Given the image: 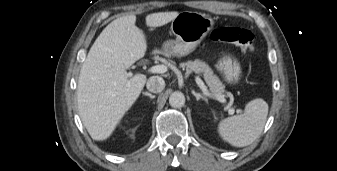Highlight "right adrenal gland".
Returning a JSON list of instances; mask_svg holds the SVG:
<instances>
[{
  "instance_id": "obj_1",
  "label": "right adrenal gland",
  "mask_w": 337,
  "mask_h": 171,
  "mask_svg": "<svg viewBox=\"0 0 337 171\" xmlns=\"http://www.w3.org/2000/svg\"><path fill=\"white\" fill-rule=\"evenodd\" d=\"M143 95L148 96L151 99L155 98V95H152L151 93H148V92H143Z\"/></svg>"
}]
</instances>
